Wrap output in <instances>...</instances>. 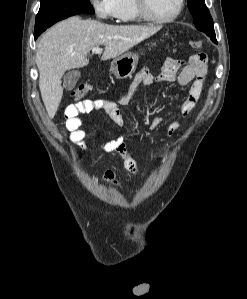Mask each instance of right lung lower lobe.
Segmentation results:
<instances>
[{
  "instance_id": "obj_1",
  "label": "right lung lower lobe",
  "mask_w": 247,
  "mask_h": 299,
  "mask_svg": "<svg viewBox=\"0 0 247 299\" xmlns=\"http://www.w3.org/2000/svg\"><path fill=\"white\" fill-rule=\"evenodd\" d=\"M39 35H35L34 38L37 39Z\"/></svg>"
}]
</instances>
